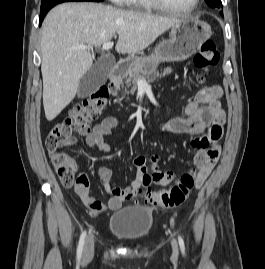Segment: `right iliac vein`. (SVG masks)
Masks as SVG:
<instances>
[{
  "label": "right iliac vein",
  "instance_id": "63e3f726",
  "mask_svg": "<svg viewBox=\"0 0 265 269\" xmlns=\"http://www.w3.org/2000/svg\"><path fill=\"white\" fill-rule=\"evenodd\" d=\"M94 254V238L92 235H89L86 238L84 249H83V261H88L93 257Z\"/></svg>",
  "mask_w": 265,
  "mask_h": 269
}]
</instances>
